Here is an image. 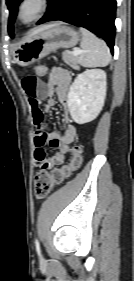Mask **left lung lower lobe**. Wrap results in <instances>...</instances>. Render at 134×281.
<instances>
[{
	"label": "left lung lower lobe",
	"instance_id": "obj_1",
	"mask_svg": "<svg viewBox=\"0 0 134 281\" xmlns=\"http://www.w3.org/2000/svg\"><path fill=\"white\" fill-rule=\"evenodd\" d=\"M116 0H52L37 24L61 20L100 35L113 53Z\"/></svg>",
	"mask_w": 134,
	"mask_h": 281
}]
</instances>
